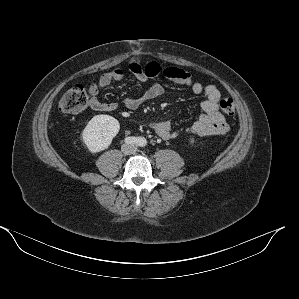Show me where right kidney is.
I'll return each instance as SVG.
<instances>
[{
  "instance_id": "right-kidney-1",
  "label": "right kidney",
  "mask_w": 299,
  "mask_h": 299,
  "mask_svg": "<svg viewBox=\"0 0 299 299\" xmlns=\"http://www.w3.org/2000/svg\"><path fill=\"white\" fill-rule=\"evenodd\" d=\"M120 124L109 115L94 116L83 129L82 139L91 153L107 149L118 134Z\"/></svg>"
}]
</instances>
